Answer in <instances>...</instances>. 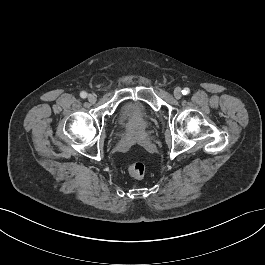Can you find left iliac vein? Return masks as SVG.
<instances>
[{"label":"left iliac vein","mask_w":265,"mask_h":265,"mask_svg":"<svg viewBox=\"0 0 265 265\" xmlns=\"http://www.w3.org/2000/svg\"><path fill=\"white\" fill-rule=\"evenodd\" d=\"M173 94L176 99H180L182 96L181 88L179 87L175 88Z\"/></svg>","instance_id":"obj_1"}]
</instances>
